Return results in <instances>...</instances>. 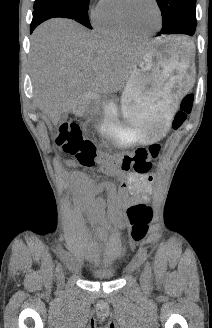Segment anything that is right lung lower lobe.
<instances>
[{"mask_svg": "<svg viewBox=\"0 0 212 328\" xmlns=\"http://www.w3.org/2000/svg\"><path fill=\"white\" fill-rule=\"evenodd\" d=\"M55 14H45L43 12H34L33 13V19L31 22V26H30V32L32 33V31L43 21L49 19V18H53L55 17Z\"/></svg>", "mask_w": 212, "mask_h": 328, "instance_id": "98d812e1", "label": "right lung lower lobe"}]
</instances>
